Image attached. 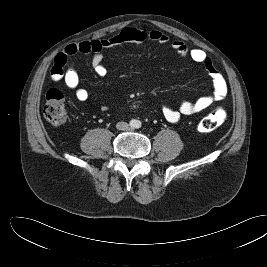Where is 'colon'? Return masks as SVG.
Segmentation results:
<instances>
[{"instance_id":"5ec220e1","label":"colon","mask_w":267,"mask_h":267,"mask_svg":"<svg viewBox=\"0 0 267 267\" xmlns=\"http://www.w3.org/2000/svg\"><path fill=\"white\" fill-rule=\"evenodd\" d=\"M43 114L45 119L54 126L65 124L67 108L64 96L59 89L52 88L47 92ZM225 119V109L218 107L200 121L198 131L201 133L214 131L225 122Z\"/></svg>"}]
</instances>
